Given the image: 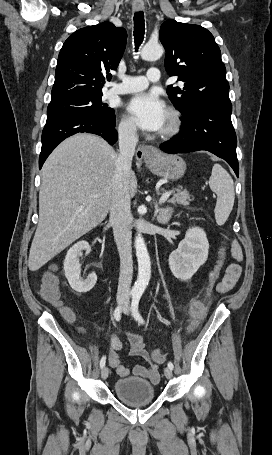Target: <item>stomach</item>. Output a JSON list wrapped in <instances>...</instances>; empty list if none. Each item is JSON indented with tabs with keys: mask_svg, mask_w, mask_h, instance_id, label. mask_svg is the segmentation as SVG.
<instances>
[{
	"mask_svg": "<svg viewBox=\"0 0 272 455\" xmlns=\"http://www.w3.org/2000/svg\"><path fill=\"white\" fill-rule=\"evenodd\" d=\"M146 164L155 175L171 180L180 179L186 171V163L178 155L158 154Z\"/></svg>",
	"mask_w": 272,
	"mask_h": 455,
	"instance_id": "stomach-1",
	"label": "stomach"
}]
</instances>
